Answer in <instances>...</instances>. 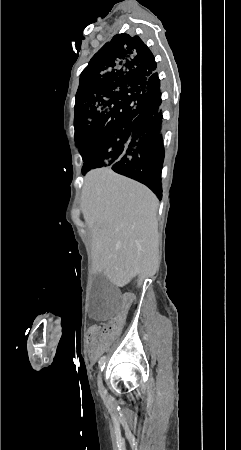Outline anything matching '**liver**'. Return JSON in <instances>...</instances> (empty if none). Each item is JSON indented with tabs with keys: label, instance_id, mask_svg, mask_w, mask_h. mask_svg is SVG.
I'll list each match as a JSON object with an SVG mask.
<instances>
[{
	"label": "liver",
	"instance_id": "liver-1",
	"mask_svg": "<svg viewBox=\"0 0 241 450\" xmlns=\"http://www.w3.org/2000/svg\"><path fill=\"white\" fill-rule=\"evenodd\" d=\"M157 196L111 168L91 170L84 178L81 208L92 230L94 272L123 288L138 276H155L158 266Z\"/></svg>",
	"mask_w": 241,
	"mask_h": 450
}]
</instances>
